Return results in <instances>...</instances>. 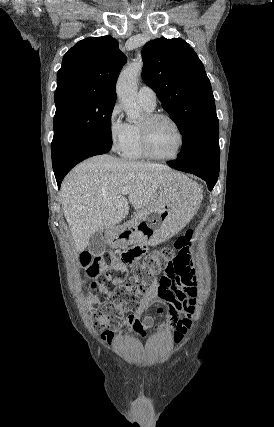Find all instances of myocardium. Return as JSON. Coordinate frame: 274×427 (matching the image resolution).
I'll return each mask as SVG.
<instances>
[{
    "label": "myocardium",
    "mask_w": 274,
    "mask_h": 427,
    "mask_svg": "<svg viewBox=\"0 0 274 427\" xmlns=\"http://www.w3.org/2000/svg\"><path fill=\"white\" fill-rule=\"evenodd\" d=\"M159 120H164L169 122L177 132L178 135V148L174 155L169 157H161L155 154L149 144V132L151 127ZM138 139L139 146L143 155L151 160L168 162L176 160L182 154L184 148V134L181 130L179 124L169 115L163 113H149L147 114L142 122L138 125Z\"/></svg>",
    "instance_id": "1"
}]
</instances>
